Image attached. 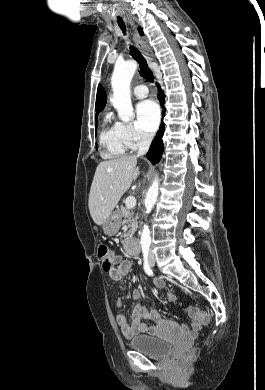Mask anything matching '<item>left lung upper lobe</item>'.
<instances>
[{
  "instance_id": "left-lung-upper-lobe-1",
  "label": "left lung upper lobe",
  "mask_w": 265,
  "mask_h": 390,
  "mask_svg": "<svg viewBox=\"0 0 265 390\" xmlns=\"http://www.w3.org/2000/svg\"><path fill=\"white\" fill-rule=\"evenodd\" d=\"M138 30H139L140 35H143L142 28H139Z\"/></svg>"
}]
</instances>
